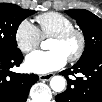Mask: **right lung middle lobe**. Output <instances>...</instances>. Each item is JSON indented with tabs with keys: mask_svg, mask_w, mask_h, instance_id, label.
I'll list each match as a JSON object with an SVG mask.
<instances>
[{
	"mask_svg": "<svg viewBox=\"0 0 102 102\" xmlns=\"http://www.w3.org/2000/svg\"><path fill=\"white\" fill-rule=\"evenodd\" d=\"M36 11L22 9L18 5L0 4V53H16V31L20 23Z\"/></svg>",
	"mask_w": 102,
	"mask_h": 102,
	"instance_id": "obj_1",
	"label": "right lung middle lobe"
}]
</instances>
